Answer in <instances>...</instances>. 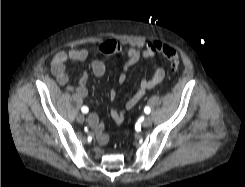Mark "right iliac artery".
<instances>
[{"label": "right iliac artery", "mask_w": 245, "mask_h": 187, "mask_svg": "<svg viewBox=\"0 0 245 187\" xmlns=\"http://www.w3.org/2000/svg\"><path fill=\"white\" fill-rule=\"evenodd\" d=\"M81 110L83 113H87L89 111L88 107L86 106H83Z\"/></svg>", "instance_id": "82829eb1"}]
</instances>
